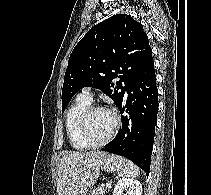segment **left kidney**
<instances>
[{
	"instance_id": "left-kidney-1",
	"label": "left kidney",
	"mask_w": 211,
	"mask_h": 195,
	"mask_svg": "<svg viewBox=\"0 0 211 195\" xmlns=\"http://www.w3.org/2000/svg\"><path fill=\"white\" fill-rule=\"evenodd\" d=\"M141 193V183L138 180L130 178L120 179L113 191V195H141Z\"/></svg>"
}]
</instances>
